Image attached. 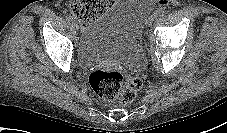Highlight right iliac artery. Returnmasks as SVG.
I'll return each mask as SVG.
<instances>
[{
    "instance_id": "right-iliac-artery-1",
    "label": "right iliac artery",
    "mask_w": 227,
    "mask_h": 133,
    "mask_svg": "<svg viewBox=\"0 0 227 133\" xmlns=\"http://www.w3.org/2000/svg\"><path fill=\"white\" fill-rule=\"evenodd\" d=\"M66 20L67 21H72L73 20V17L71 15H66Z\"/></svg>"
}]
</instances>
